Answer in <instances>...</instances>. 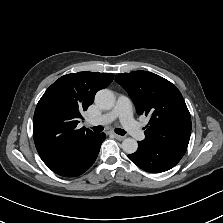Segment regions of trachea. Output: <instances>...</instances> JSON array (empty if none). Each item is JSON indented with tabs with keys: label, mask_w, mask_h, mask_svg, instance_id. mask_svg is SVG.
Returning a JSON list of instances; mask_svg holds the SVG:
<instances>
[{
	"label": "trachea",
	"mask_w": 223,
	"mask_h": 223,
	"mask_svg": "<svg viewBox=\"0 0 223 223\" xmlns=\"http://www.w3.org/2000/svg\"><path fill=\"white\" fill-rule=\"evenodd\" d=\"M92 129L95 132H101V131H103L104 127L103 126H95V127H92ZM114 131H115V133H117L119 135H124L126 133L123 129H120V128H116Z\"/></svg>",
	"instance_id": "1"
}]
</instances>
